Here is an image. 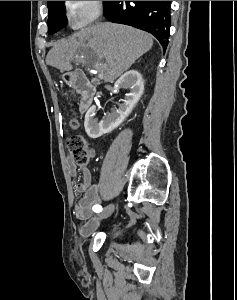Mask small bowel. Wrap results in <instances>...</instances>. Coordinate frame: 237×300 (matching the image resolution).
Masks as SVG:
<instances>
[{
    "label": "small bowel",
    "instance_id": "c3829d8e",
    "mask_svg": "<svg viewBox=\"0 0 237 300\" xmlns=\"http://www.w3.org/2000/svg\"><path fill=\"white\" fill-rule=\"evenodd\" d=\"M70 128L75 130L79 127L77 119L70 120ZM96 151L91 148L88 150L89 158H93ZM69 173L75 176L80 171L82 180L76 185V191L82 194L78 204L75 207L74 214L78 220H83L85 223L80 226L79 232L81 235H87L98 226L97 219L93 216V207L98 205L102 199L99 188H116L117 184L108 178L102 177L100 185L92 183V177L89 169L86 166L77 167L72 160L67 161Z\"/></svg>",
    "mask_w": 237,
    "mask_h": 300
}]
</instances>
